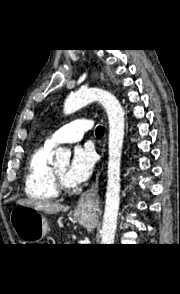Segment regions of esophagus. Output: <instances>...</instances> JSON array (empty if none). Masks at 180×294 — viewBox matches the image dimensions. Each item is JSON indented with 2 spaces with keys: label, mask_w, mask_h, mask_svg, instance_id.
Returning <instances> with one entry per match:
<instances>
[{
  "label": "esophagus",
  "mask_w": 180,
  "mask_h": 294,
  "mask_svg": "<svg viewBox=\"0 0 180 294\" xmlns=\"http://www.w3.org/2000/svg\"><path fill=\"white\" fill-rule=\"evenodd\" d=\"M100 79L104 81L103 73L100 72ZM105 150V140L102 144V156ZM99 175L100 171H97L95 181L91 186L80 196L77 203L75 212L83 214L92 219H98L102 214V207L99 199Z\"/></svg>",
  "instance_id": "34e87169"
}]
</instances>
